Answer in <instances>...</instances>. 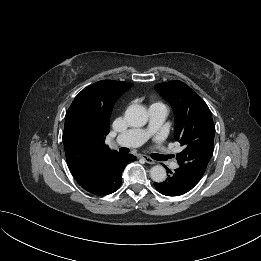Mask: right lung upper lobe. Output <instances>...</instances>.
Returning a JSON list of instances; mask_svg holds the SVG:
<instances>
[{
  "instance_id": "cb5924a9",
  "label": "right lung upper lobe",
  "mask_w": 261,
  "mask_h": 261,
  "mask_svg": "<svg viewBox=\"0 0 261 261\" xmlns=\"http://www.w3.org/2000/svg\"><path fill=\"white\" fill-rule=\"evenodd\" d=\"M133 83L103 80L84 88L65 116L63 142L68 168L77 182L88 178L106 159L118 154L105 144L117 99Z\"/></svg>"
}]
</instances>
